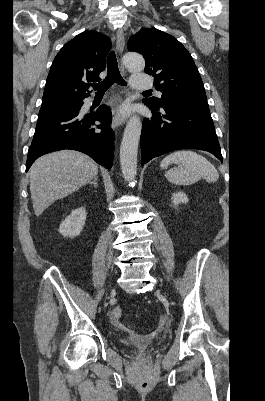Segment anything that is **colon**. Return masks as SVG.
I'll return each instance as SVG.
<instances>
[{"label": "colon", "mask_w": 265, "mask_h": 401, "mask_svg": "<svg viewBox=\"0 0 265 401\" xmlns=\"http://www.w3.org/2000/svg\"><path fill=\"white\" fill-rule=\"evenodd\" d=\"M123 314V310L119 307L115 308L112 313V321L117 325L120 326L119 320Z\"/></svg>", "instance_id": "1"}]
</instances>
